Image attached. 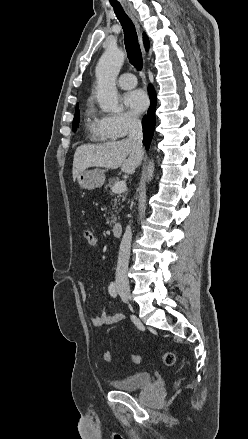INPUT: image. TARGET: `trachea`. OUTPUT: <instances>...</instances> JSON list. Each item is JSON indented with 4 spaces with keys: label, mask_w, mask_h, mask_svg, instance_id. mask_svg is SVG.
Masks as SVG:
<instances>
[{
    "label": "trachea",
    "mask_w": 248,
    "mask_h": 439,
    "mask_svg": "<svg viewBox=\"0 0 248 439\" xmlns=\"http://www.w3.org/2000/svg\"><path fill=\"white\" fill-rule=\"evenodd\" d=\"M114 12L120 21L125 40V49L127 51L129 62L138 70L142 69L143 59L141 49L138 43L137 32L132 20L124 12L121 5H112Z\"/></svg>",
    "instance_id": "trachea-1"
}]
</instances>
